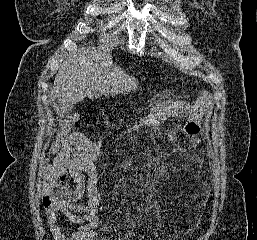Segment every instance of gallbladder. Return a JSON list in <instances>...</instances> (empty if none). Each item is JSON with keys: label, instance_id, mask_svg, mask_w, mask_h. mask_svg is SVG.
Listing matches in <instances>:
<instances>
[{"label": "gallbladder", "instance_id": "gallbladder-1", "mask_svg": "<svg viewBox=\"0 0 257 240\" xmlns=\"http://www.w3.org/2000/svg\"><path fill=\"white\" fill-rule=\"evenodd\" d=\"M57 106L60 111H64L66 113H69L73 108L72 104L65 102L61 96H58Z\"/></svg>", "mask_w": 257, "mask_h": 240}]
</instances>
